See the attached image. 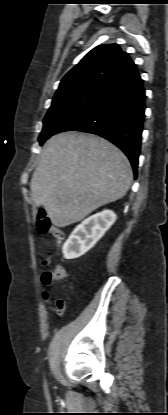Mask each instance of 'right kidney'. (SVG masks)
Instances as JSON below:
<instances>
[{
    "mask_svg": "<svg viewBox=\"0 0 168 415\" xmlns=\"http://www.w3.org/2000/svg\"><path fill=\"white\" fill-rule=\"evenodd\" d=\"M111 210H103L86 218L71 233L62 251L65 259H75L89 251L116 221Z\"/></svg>",
    "mask_w": 168,
    "mask_h": 415,
    "instance_id": "ca27d5eb",
    "label": "right kidney"
}]
</instances>
